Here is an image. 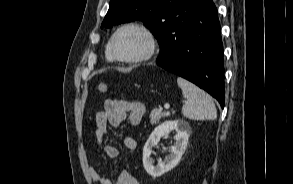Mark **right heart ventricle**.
<instances>
[{"mask_svg": "<svg viewBox=\"0 0 293 184\" xmlns=\"http://www.w3.org/2000/svg\"><path fill=\"white\" fill-rule=\"evenodd\" d=\"M105 56H106V59H107L108 61H110V62L114 61L113 57H112L111 54H110L109 46H108V45L106 46Z\"/></svg>", "mask_w": 293, "mask_h": 184, "instance_id": "e07e8e85", "label": "right heart ventricle"}]
</instances>
